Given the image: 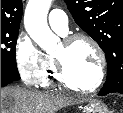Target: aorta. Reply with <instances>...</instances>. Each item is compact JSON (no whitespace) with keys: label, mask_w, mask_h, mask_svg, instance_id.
<instances>
[{"label":"aorta","mask_w":123,"mask_h":113,"mask_svg":"<svg viewBox=\"0 0 123 113\" xmlns=\"http://www.w3.org/2000/svg\"><path fill=\"white\" fill-rule=\"evenodd\" d=\"M51 2L52 0H29L24 14L27 33L45 52L55 50L59 41L47 24Z\"/></svg>","instance_id":"aorta-1"}]
</instances>
